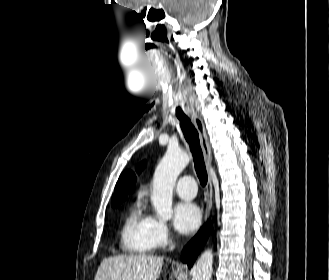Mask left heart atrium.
<instances>
[{
  "label": "left heart atrium",
  "instance_id": "left-heart-atrium-1",
  "mask_svg": "<svg viewBox=\"0 0 329 280\" xmlns=\"http://www.w3.org/2000/svg\"><path fill=\"white\" fill-rule=\"evenodd\" d=\"M201 211L191 202H180L174 208L173 223L175 228L183 234L194 232L200 225Z\"/></svg>",
  "mask_w": 329,
  "mask_h": 280
}]
</instances>
